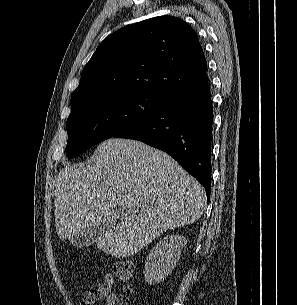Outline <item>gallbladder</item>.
Segmentation results:
<instances>
[{"label":"gallbladder","mask_w":297,"mask_h":305,"mask_svg":"<svg viewBox=\"0 0 297 305\" xmlns=\"http://www.w3.org/2000/svg\"><path fill=\"white\" fill-rule=\"evenodd\" d=\"M107 229L108 227L105 223L95 224L86 231L70 238V243L77 248L87 247L103 237Z\"/></svg>","instance_id":"obj_1"}]
</instances>
